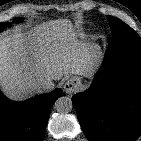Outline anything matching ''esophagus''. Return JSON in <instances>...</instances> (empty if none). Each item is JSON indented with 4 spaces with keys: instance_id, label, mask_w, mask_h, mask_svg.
<instances>
[{
    "instance_id": "esophagus-1",
    "label": "esophagus",
    "mask_w": 141,
    "mask_h": 141,
    "mask_svg": "<svg viewBox=\"0 0 141 141\" xmlns=\"http://www.w3.org/2000/svg\"><path fill=\"white\" fill-rule=\"evenodd\" d=\"M80 85V80L78 78H70L66 81L63 88L66 93L72 94L74 93Z\"/></svg>"
}]
</instances>
